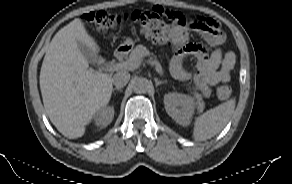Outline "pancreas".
Masks as SVG:
<instances>
[{"label": "pancreas", "instance_id": "obj_1", "mask_svg": "<svg viewBox=\"0 0 292 184\" xmlns=\"http://www.w3.org/2000/svg\"><path fill=\"white\" fill-rule=\"evenodd\" d=\"M146 56H150V52L148 51V49L143 45H137L131 51L129 59L136 63H141L143 61V58ZM193 95H194V98L196 99L198 111L201 112L204 109V102L202 100V95L199 94L195 88H194Z\"/></svg>", "mask_w": 292, "mask_h": 184}]
</instances>
